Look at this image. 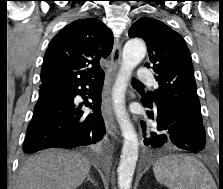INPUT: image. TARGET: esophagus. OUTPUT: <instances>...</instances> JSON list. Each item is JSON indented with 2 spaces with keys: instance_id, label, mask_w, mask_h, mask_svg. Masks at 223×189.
Wrapping results in <instances>:
<instances>
[{
  "instance_id": "esophagus-1",
  "label": "esophagus",
  "mask_w": 223,
  "mask_h": 189,
  "mask_svg": "<svg viewBox=\"0 0 223 189\" xmlns=\"http://www.w3.org/2000/svg\"><path fill=\"white\" fill-rule=\"evenodd\" d=\"M122 64V43L120 39H116L114 42V47L111 53V64L106 75L107 88L105 90L103 98V118L106 122L107 128L110 131H117V126L115 122V117L112 110L111 101V87L116 77L118 70Z\"/></svg>"
}]
</instances>
